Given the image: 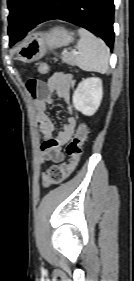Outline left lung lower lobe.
Returning a JSON list of instances; mask_svg holds the SVG:
<instances>
[{"label":"left lung lower lobe","instance_id":"1","mask_svg":"<svg viewBox=\"0 0 134 281\" xmlns=\"http://www.w3.org/2000/svg\"><path fill=\"white\" fill-rule=\"evenodd\" d=\"M113 14V0H47L31 29L47 20H65L96 33L112 50Z\"/></svg>","mask_w":134,"mask_h":281}]
</instances>
